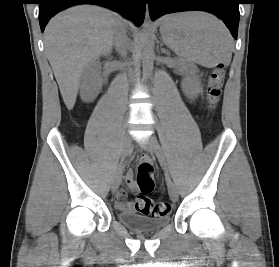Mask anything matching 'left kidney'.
<instances>
[{"label": "left kidney", "mask_w": 279, "mask_h": 267, "mask_svg": "<svg viewBox=\"0 0 279 267\" xmlns=\"http://www.w3.org/2000/svg\"><path fill=\"white\" fill-rule=\"evenodd\" d=\"M183 88L190 95H196L201 92V84L197 77L188 75L184 78Z\"/></svg>", "instance_id": "obj_1"}]
</instances>
